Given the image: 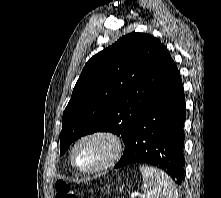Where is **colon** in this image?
<instances>
[{"mask_svg": "<svg viewBox=\"0 0 221 198\" xmlns=\"http://www.w3.org/2000/svg\"><path fill=\"white\" fill-rule=\"evenodd\" d=\"M56 198H78L75 191L63 181H58L55 184Z\"/></svg>", "mask_w": 221, "mask_h": 198, "instance_id": "obj_1", "label": "colon"}]
</instances>
